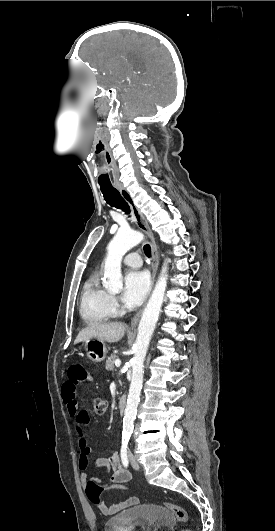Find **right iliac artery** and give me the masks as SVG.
I'll return each instance as SVG.
<instances>
[{
	"mask_svg": "<svg viewBox=\"0 0 275 531\" xmlns=\"http://www.w3.org/2000/svg\"><path fill=\"white\" fill-rule=\"evenodd\" d=\"M127 444H128L127 441L122 440V446H121L120 455H121V460H122V463H123L124 467H127L128 463H129L128 455H127V451H128Z\"/></svg>",
	"mask_w": 275,
	"mask_h": 531,
	"instance_id": "82829eb1",
	"label": "right iliac artery"
}]
</instances>
